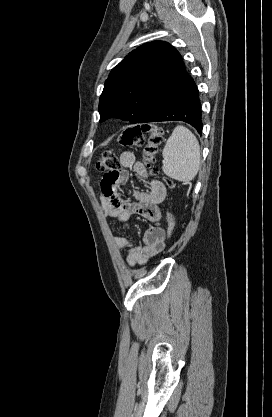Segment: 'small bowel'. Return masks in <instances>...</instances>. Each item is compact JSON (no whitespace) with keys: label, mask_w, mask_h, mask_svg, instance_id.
I'll list each match as a JSON object with an SVG mask.
<instances>
[{"label":"small bowel","mask_w":272,"mask_h":417,"mask_svg":"<svg viewBox=\"0 0 272 417\" xmlns=\"http://www.w3.org/2000/svg\"><path fill=\"white\" fill-rule=\"evenodd\" d=\"M122 169L115 174H105L100 183V204L106 216L120 221L125 228L129 227L132 215L138 214L147 219L151 226L145 231L143 245H136L126 236L114 238V244L118 248H127L126 262L130 266L145 264L151 257L158 254L164 246L166 239L165 230L162 227V212L159 205L165 200L167 191L164 184L158 180H149V190L134 191V202L126 201L121 196V189L129 182L133 169L142 180H147V171L143 164L137 161L131 152H123L120 155Z\"/></svg>","instance_id":"obj_1"}]
</instances>
